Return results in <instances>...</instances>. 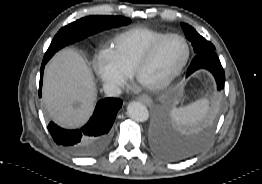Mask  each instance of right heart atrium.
<instances>
[{
    "instance_id": "right-heart-atrium-1",
    "label": "right heart atrium",
    "mask_w": 262,
    "mask_h": 184,
    "mask_svg": "<svg viewBox=\"0 0 262 184\" xmlns=\"http://www.w3.org/2000/svg\"><path fill=\"white\" fill-rule=\"evenodd\" d=\"M93 69L103 87L109 91L119 89L129 78L109 51H101L96 56Z\"/></svg>"
}]
</instances>
